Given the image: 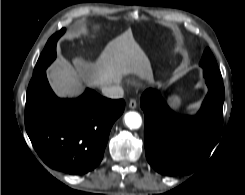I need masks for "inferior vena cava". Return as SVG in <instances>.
Segmentation results:
<instances>
[{
	"mask_svg": "<svg viewBox=\"0 0 245 195\" xmlns=\"http://www.w3.org/2000/svg\"><path fill=\"white\" fill-rule=\"evenodd\" d=\"M102 93L111 99H119L124 95L123 88L119 85H109L101 87Z\"/></svg>",
	"mask_w": 245,
	"mask_h": 195,
	"instance_id": "1",
	"label": "inferior vena cava"
}]
</instances>
